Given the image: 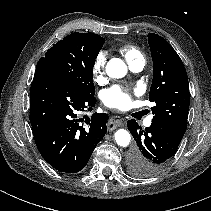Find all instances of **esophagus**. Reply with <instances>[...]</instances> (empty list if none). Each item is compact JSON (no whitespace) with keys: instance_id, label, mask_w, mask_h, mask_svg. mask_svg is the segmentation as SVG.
<instances>
[{"instance_id":"34e87169","label":"esophagus","mask_w":211,"mask_h":211,"mask_svg":"<svg viewBox=\"0 0 211 211\" xmlns=\"http://www.w3.org/2000/svg\"><path fill=\"white\" fill-rule=\"evenodd\" d=\"M124 124V120L119 116H113L107 123L109 131L115 130L118 127H121Z\"/></svg>"}]
</instances>
